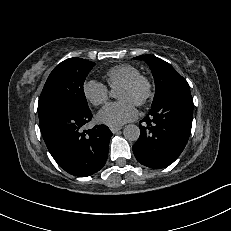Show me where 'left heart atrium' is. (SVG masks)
<instances>
[{"label":"left heart atrium","mask_w":231,"mask_h":231,"mask_svg":"<svg viewBox=\"0 0 231 231\" xmlns=\"http://www.w3.org/2000/svg\"><path fill=\"white\" fill-rule=\"evenodd\" d=\"M137 116V109L133 102L127 99L119 100L105 106L98 114L97 121L109 127H121Z\"/></svg>","instance_id":"left-heart-atrium-1"}]
</instances>
